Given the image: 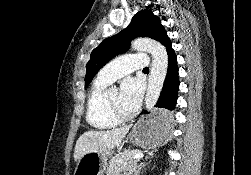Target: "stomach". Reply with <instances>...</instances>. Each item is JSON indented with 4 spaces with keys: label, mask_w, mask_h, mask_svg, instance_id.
<instances>
[{
    "label": "stomach",
    "mask_w": 251,
    "mask_h": 175,
    "mask_svg": "<svg viewBox=\"0 0 251 175\" xmlns=\"http://www.w3.org/2000/svg\"><path fill=\"white\" fill-rule=\"evenodd\" d=\"M171 115L165 109H157L151 115L142 117L133 125L127 139L140 147H153L167 139L171 134ZM109 157H115V151H88L77 161L74 175H104Z\"/></svg>",
    "instance_id": "0dacf381"
}]
</instances>
